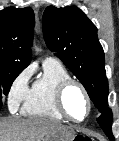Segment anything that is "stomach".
Instances as JSON below:
<instances>
[{
    "instance_id": "obj_1",
    "label": "stomach",
    "mask_w": 119,
    "mask_h": 141,
    "mask_svg": "<svg viewBox=\"0 0 119 141\" xmlns=\"http://www.w3.org/2000/svg\"><path fill=\"white\" fill-rule=\"evenodd\" d=\"M76 134L68 127H61L46 136L42 141H74Z\"/></svg>"
}]
</instances>
